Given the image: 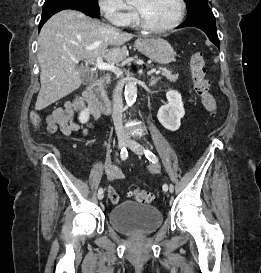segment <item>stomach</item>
<instances>
[{
	"instance_id": "obj_1",
	"label": "stomach",
	"mask_w": 261,
	"mask_h": 273,
	"mask_svg": "<svg viewBox=\"0 0 261 273\" xmlns=\"http://www.w3.org/2000/svg\"><path fill=\"white\" fill-rule=\"evenodd\" d=\"M135 47L148 58L159 64H168L173 61L175 56L173 47L162 38H140L135 42Z\"/></svg>"
}]
</instances>
